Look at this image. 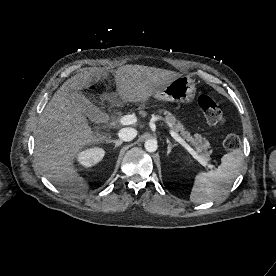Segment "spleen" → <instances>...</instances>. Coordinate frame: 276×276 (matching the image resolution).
I'll return each instance as SVG.
<instances>
[{
	"label": "spleen",
	"instance_id": "obj_1",
	"mask_svg": "<svg viewBox=\"0 0 276 276\" xmlns=\"http://www.w3.org/2000/svg\"><path fill=\"white\" fill-rule=\"evenodd\" d=\"M240 150L225 154L216 170L200 172L195 176L190 201L201 204L224 195L238 176L243 163Z\"/></svg>",
	"mask_w": 276,
	"mask_h": 276
}]
</instances>
